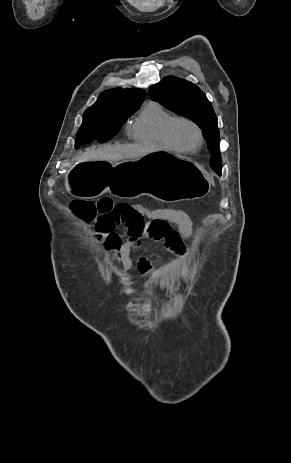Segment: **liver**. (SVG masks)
<instances>
[{
  "label": "liver",
  "mask_w": 291,
  "mask_h": 463,
  "mask_svg": "<svg viewBox=\"0 0 291 463\" xmlns=\"http://www.w3.org/2000/svg\"><path fill=\"white\" fill-rule=\"evenodd\" d=\"M153 147L125 144V145H107L103 147H91L81 154L79 162L89 161H109L117 163L126 159H138L148 153L154 152Z\"/></svg>",
  "instance_id": "liver-1"
}]
</instances>
